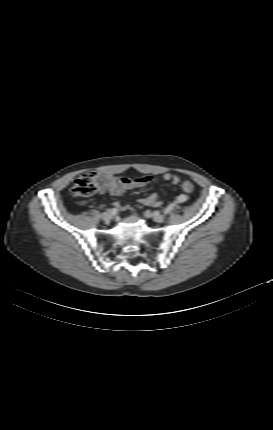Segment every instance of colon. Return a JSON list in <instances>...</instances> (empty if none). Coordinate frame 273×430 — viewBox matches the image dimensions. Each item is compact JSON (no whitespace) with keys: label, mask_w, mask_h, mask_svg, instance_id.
<instances>
[{"label":"colon","mask_w":273,"mask_h":430,"mask_svg":"<svg viewBox=\"0 0 273 430\" xmlns=\"http://www.w3.org/2000/svg\"><path fill=\"white\" fill-rule=\"evenodd\" d=\"M182 189L189 194L194 190L191 182L185 181L182 184ZM98 191V180L94 173H85L77 178L74 182L71 192L76 197H89Z\"/></svg>","instance_id":"5ec220e1"}]
</instances>
